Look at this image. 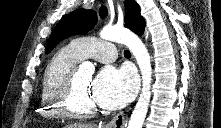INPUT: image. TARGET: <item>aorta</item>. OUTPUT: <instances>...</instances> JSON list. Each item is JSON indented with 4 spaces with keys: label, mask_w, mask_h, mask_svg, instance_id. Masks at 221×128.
I'll return each mask as SVG.
<instances>
[{
    "label": "aorta",
    "mask_w": 221,
    "mask_h": 128,
    "mask_svg": "<svg viewBox=\"0 0 221 128\" xmlns=\"http://www.w3.org/2000/svg\"><path fill=\"white\" fill-rule=\"evenodd\" d=\"M100 37L126 45L137 61L142 76V90L127 128H142L151 98L152 68L148 50L137 35L124 28L105 26ZM79 70L92 74L95 67L91 62L85 61L79 66Z\"/></svg>",
    "instance_id": "obj_1"
}]
</instances>
